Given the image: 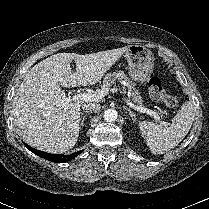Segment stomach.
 <instances>
[{"mask_svg":"<svg viewBox=\"0 0 209 209\" xmlns=\"http://www.w3.org/2000/svg\"><path fill=\"white\" fill-rule=\"evenodd\" d=\"M128 61V71L131 78L137 82H146L154 68L152 52L141 45H130L125 52Z\"/></svg>","mask_w":209,"mask_h":209,"instance_id":"0dacf381","label":"stomach"}]
</instances>
